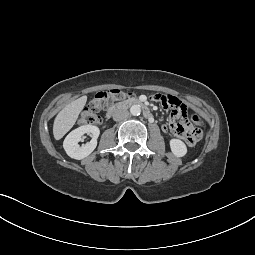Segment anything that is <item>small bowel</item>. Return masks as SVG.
<instances>
[{"mask_svg": "<svg viewBox=\"0 0 255 255\" xmlns=\"http://www.w3.org/2000/svg\"><path fill=\"white\" fill-rule=\"evenodd\" d=\"M171 97L175 98L178 101V105L175 106L173 100L169 97H166L162 100V107L167 110L168 115L172 116L169 123L163 125V130L165 132L173 133L175 139L184 144H187L189 146L197 145V128L193 125L192 121H190L189 117H187L186 115V104L175 96Z\"/></svg>", "mask_w": 255, "mask_h": 255, "instance_id": "small-bowel-1", "label": "small bowel"}]
</instances>
